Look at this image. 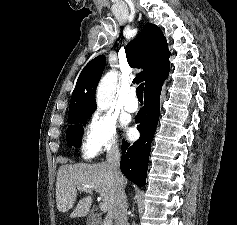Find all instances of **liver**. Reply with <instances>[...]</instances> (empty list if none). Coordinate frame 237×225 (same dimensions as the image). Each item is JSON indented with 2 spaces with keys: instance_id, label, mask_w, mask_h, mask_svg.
<instances>
[{
  "instance_id": "liver-1",
  "label": "liver",
  "mask_w": 237,
  "mask_h": 225,
  "mask_svg": "<svg viewBox=\"0 0 237 225\" xmlns=\"http://www.w3.org/2000/svg\"><path fill=\"white\" fill-rule=\"evenodd\" d=\"M126 184V180H125ZM87 185L95 190L107 205L108 213L102 225H112L116 204L115 180L106 162L98 164H64L60 166L56 182V204L60 212L72 209L77 199V188ZM92 204L86 196L79 200L71 213V218L85 217Z\"/></svg>"
}]
</instances>
